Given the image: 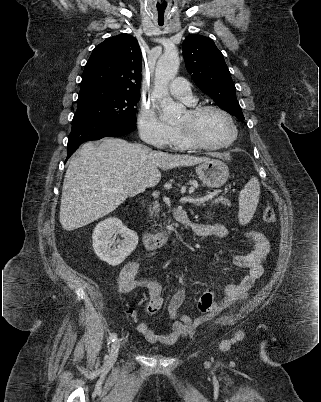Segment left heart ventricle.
I'll return each instance as SVG.
<instances>
[{"label":"left heart ventricle","instance_id":"left-heart-ventricle-1","mask_svg":"<svg viewBox=\"0 0 321 402\" xmlns=\"http://www.w3.org/2000/svg\"><path fill=\"white\" fill-rule=\"evenodd\" d=\"M176 126L191 129L199 140L207 144L225 142L232 135L228 120L214 110H207L195 117L185 111L177 120Z\"/></svg>","mask_w":321,"mask_h":402}]
</instances>
